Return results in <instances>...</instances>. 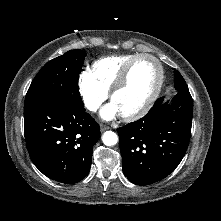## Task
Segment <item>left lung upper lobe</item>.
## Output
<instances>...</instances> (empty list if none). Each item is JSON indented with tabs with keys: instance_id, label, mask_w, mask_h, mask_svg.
<instances>
[{
	"instance_id": "1",
	"label": "left lung upper lobe",
	"mask_w": 221,
	"mask_h": 221,
	"mask_svg": "<svg viewBox=\"0 0 221 221\" xmlns=\"http://www.w3.org/2000/svg\"><path fill=\"white\" fill-rule=\"evenodd\" d=\"M175 88H182V89H188L187 84L185 80L183 79L182 75L179 73V71L175 70Z\"/></svg>"
}]
</instances>
